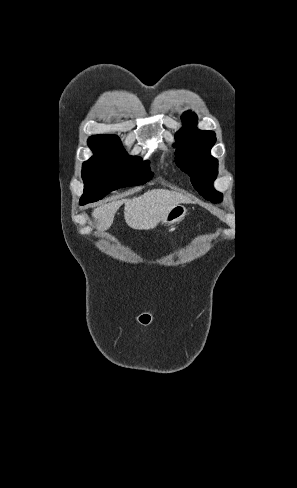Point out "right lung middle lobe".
Returning a JSON list of instances; mask_svg holds the SVG:
<instances>
[{"label": "right lung middle lobe", "mask_w": 297, "mask_h": 488, "mask_svg": "<svg viewBox=\"0 0 297 488\" xmlns=\"http://www.w3.org/2000/svg\"><path fill=\"white\" fill-rule=\"evenodd\" d=\"M95 155L83 163L84 193L80 204L98 201L109 192L146 183L153 173L149 161L128 156L119 139H104Z\"/></svg>", "instance_id": "right-lung-middle-lobe-1"}]
</instances>
